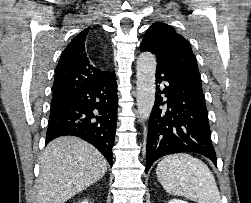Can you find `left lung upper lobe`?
Listing matches in <instances>:
<instances>
[{
	"label": "left lung upper lobe",
	"instance_id": "5c2ea615",
	"mask_svg": "<svg viewBox=\"0 0 251 203\" xmlns=\"http://www.w3.org/2000/svg\"><path fill=\"white\" fill-rule=\"evenodd\" d=\"M141 50L154 53L157 63H165L179 69L202 89L191 46L173 27L162 22L153 23L145 33Z\"/></svg>",
	"mask_w": 251,
	"mask_h": 203
}]
</instances>
